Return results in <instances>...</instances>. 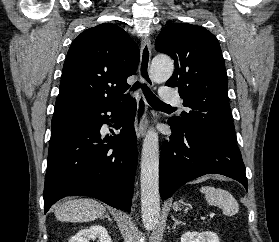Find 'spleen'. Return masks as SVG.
<instances>
[{"instance_id": "3e777b00", "label": "spleen", "mask_w": 279, "mask_h": 242, "mask_svg": "<svg viewBox=\"0 0 279 242\" xmlns=\"http://www.w3.org/2000/svg\"><path fill=\"white\" fill-rule=\"evenodd\" d=\"M200 192L205 195L209 205L221 207L225 215L233 216L238 213L239 204L228 191L212 186H202ZM174 209H177V205H174Z\"/></svg>"}]
</instances>
